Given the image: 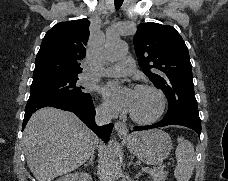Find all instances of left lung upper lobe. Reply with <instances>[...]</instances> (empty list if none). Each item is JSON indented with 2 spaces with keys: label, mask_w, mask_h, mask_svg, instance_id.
<instances>
[{
  "label": "left lung upper lobe",
  "mask_w": 228,
  "mask_h": 181,
  "mask_svg": "<svg viewBox=\"0 0 228 181\" xmlns=\"http://www.w3.org/2000/svg\"><path fill=\"white\" fill-rule=\"evenodd\" d=\"M134 47L140 68L168 99L169 109L161 121L201 126L188 49L175 28L140 24Z\"/></svg>",
  "instance_id": "left-lung-upper-lobe-1"
}]
</instances>
